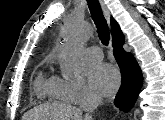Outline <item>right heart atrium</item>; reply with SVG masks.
I'll return each instance as SVG.
<instances>
[{"instance_id": "1", "label": "right heart atrium", "mask_w": 165, "mask_h": 120, "mask_svg": "<svg viewBox=\"0 0 165 120\" xmlns=\"http://www.w3.org/2000/svg\"><path fill=\"white\" fill-rule=\"evenodd\" d=\"M54 84L59 96L67 102L80 104L96 99L94 93L82 79L54 77Z\"/></svg>"}]
</instances>
